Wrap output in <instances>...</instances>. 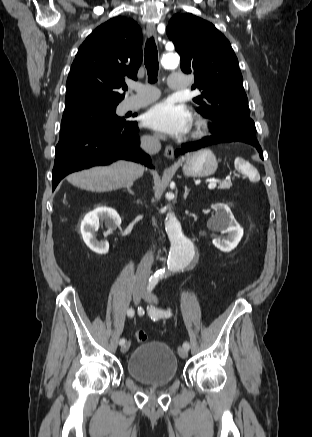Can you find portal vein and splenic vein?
I'll return each mask as SVG.
<instances>
[{
	"label": "portal vein and splenic vein",
	"instance_id": "1",
	"mask_svg": "<svg viewBox=\"0 0 312 437\" xmlns=\"http://www.w3.org/2000/svg\"><path fill=\"white\" fill-rule=\"evenodd\" d=\"M216 187V182H211L209 185H208V188L209 189H212V188H215Z\"/></svg>",
	"mask_w": 312,
	"mask_h": 437
}]
</instances>
